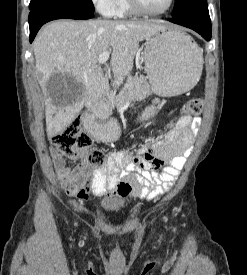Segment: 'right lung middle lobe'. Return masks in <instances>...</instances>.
Wrapping results in <instances>:
<instances>
[{
	"mask_svg": "<svg viewBox=\"0 0 247 275\" xmlns=\"http://www.w3.org/2000/svg\"><path fill=\"white\" fill-rule=\"evenodd\" d=\"M49 6H65L69 9L94 12L92 0H31L29 9L35 10Z\"/></svg>",
	"mask_w": 247,
	"mask_h": 275,
	"instance_id": "1",
	"label": "right lung middle lobe"
}]
</instances>
